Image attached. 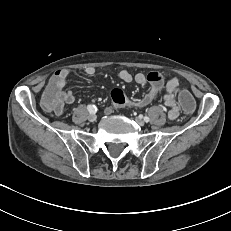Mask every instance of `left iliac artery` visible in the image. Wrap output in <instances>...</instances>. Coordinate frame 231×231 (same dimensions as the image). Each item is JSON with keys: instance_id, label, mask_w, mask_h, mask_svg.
Masks as SVG:
<instances>
[{"instance_id": "left-iliac-artery-1", "label": "left iliac artery", "mask_w": 231, "mask_h": 231, "mask_svg": "<svg viewBox=\"0 0 231 231\" xmlns=\"http://www.w3.org/2000/svg\"><path fill=\"white\" fill-rule=\"evenodd\" d=\"M144 121H145V122H149V121H150L149 117L145 116V117H144Z\"/></svg>"}]
</instances>
